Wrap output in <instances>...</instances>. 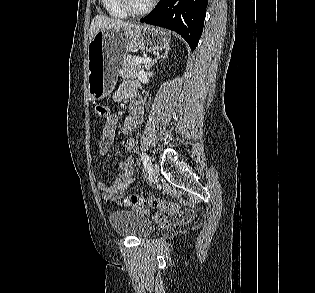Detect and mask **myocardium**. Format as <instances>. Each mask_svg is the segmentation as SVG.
Here are the masks:
<instances>
[{
    "label": "myocardium",
    "instance_id": "myocardium-1",
    "mask_svg": "<svg viewBox=\"0 0 315 293\" xmlns=\"http://www.w3.org/2000/svg\"><path fill=\"white\" fill-rule=\"evenodd\" d=\"M120 7L129 15H144L150 12L155 6L156 0H151L147 6L138 9L133 6L132 0H118Z\"/></svg>",
    "mask_w": 315,
    "mask_h": 293
}]
</instances>
